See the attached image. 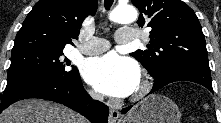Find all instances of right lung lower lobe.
<instances>
[{
    "mask_svg": "<svg viewBox=\"0 0 221 123\" xmlns=\"http://www.w3.org/2000/svg\"><path fill=\"white\" fill-rule=\"evenodd\" d=\"M27 98H40L64 104L79 112L92 123H107L109 108L91 100L85 91L79 73L71 78L47 80L38 75L9 80L0 104V112L14 102Z\"/></svg>",
    "mask_w": 221,
    "mask_h": 123,
    "instance_id": "98d812e1",
    "label": "right lung lower lobe"
}]
</instances>
